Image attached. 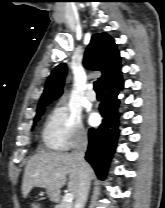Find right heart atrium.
I'll list each match as a JSON object with an SVG mask.
<instances>
[{"instance_id":"1","label":"right heart atrium","mask_w":165,"mask_h":208,"mask_svg":"<svg viewBox=\"0 0 165 208\" xmlns=\"http://www.w3.org/2000/svg\"><path fill=\"white\" fill-rule=\"evenodd\" d=\"M43 138L47 147L57 151L83 144L87 133L80 111L67 103L56 106L48 115Z\"/></svg>"}]
</instances>
